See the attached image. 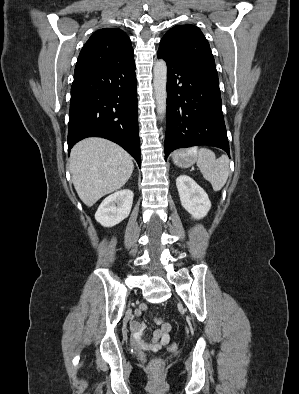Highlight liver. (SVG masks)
Instances as JSON below:
<instances>
[{"label":"liver","instance_id":"1","mask_svg":"<svg viewBox=\"0 0 299 394\" xmlns=\"http://www.w3.org/2000/svg\"><path fill=\"white\" fill-rule=\"evenodd\" d=\"M69 169L78 196L91 207L101 197L125 185L134 164L132 157L119 145L91 137L72 148Z\"/></svg>","mask_w":299,"mask_h":394}]
</instances>
